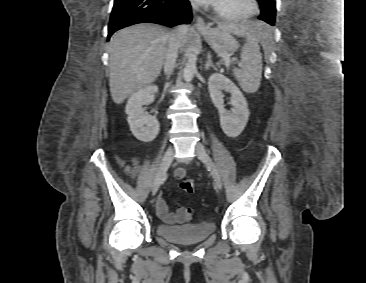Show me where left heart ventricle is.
Instances as JSON below:
<instances>
[{"label":"left heart ventricle","instance_id":"b2bd125f","mask_svg":"<svg viewBox=\"0 0 366 283\" xmlns=\"http://www.w3.org/2000/svg\"><path fill=\"white\" fill-rule=\"evenodd\" d=\"M215 5L227 13H244L250 9L249 0H218Z\"/></svg>","mask_w":366,"mask_h":283}]
</instances>
